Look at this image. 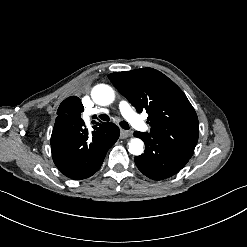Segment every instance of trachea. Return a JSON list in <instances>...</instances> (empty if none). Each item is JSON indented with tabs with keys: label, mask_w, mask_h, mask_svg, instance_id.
Wrapping results in <instances>:
<instances>
[{
	"label": "trachea",
	"mask_w": 247,
	"mask_h": 247,
	"mask_svg": "<svg viewBox=\"0 0 247 247\" xmlns=\"http://www.w3.org/2000/svg\"><path fill=\"white\" fill-rule=\"evenodd\" d=\"M99 118L103 121H109L110 120V117L106 114H101L99 115ZM120 126L125 129V130H128L129 129V124L126 122V121H121L120 122Z\"/></svg>",
	"instance_id": "3493384b"
}]
</instances>
